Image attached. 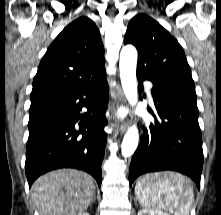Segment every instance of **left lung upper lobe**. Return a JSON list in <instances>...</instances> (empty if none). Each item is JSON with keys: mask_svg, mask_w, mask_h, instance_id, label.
I'll list each match as a JSON object with an SVG mask.
<instances>
[{"mask_svg": "<svg viewBox=\"0 0 221 215\" xmlns=\"http://www.w3.org/2000/svg\"><path fill=\"white\" fill-rule=\"evenodd\" d=\"M124 43L133 44L138 50V75L196 97L183 48L157 21L145 14H137L128 24Z\"/></svg>", "mask_w": 221, "mask_h": 215, "instance_id": "1", "label": "left lung upper lobe"}]
</instances>
